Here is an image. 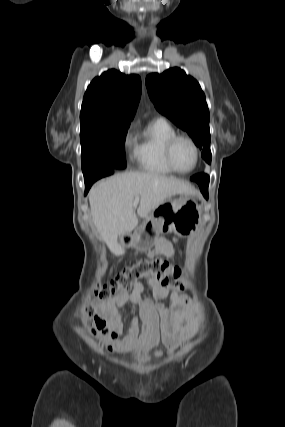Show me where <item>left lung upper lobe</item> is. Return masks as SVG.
Segmentation results:
<instances>
[{
    "instance_id": "obj_1",
    "label": "left lung upper lobe",
    "mask_w": 285,
    "mask_h": 427,
    "mask_svg": "<svg viewBox=\"0 0 285 427\" xmlns=\"http://www.w3.org/2000/svg\"><path fill=\"white\" fill-rule=\"evenodd\" d=\"M146 87L156 109L187 131L211 163L209 110L199 83L180 68L146 77Z\"/></svg>"
}]
</instances>
